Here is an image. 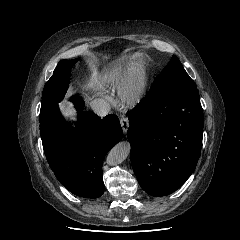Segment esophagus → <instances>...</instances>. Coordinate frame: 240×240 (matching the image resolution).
I'll return each instance as SVG.
<instances>
[{"mask_svg": "<svg viewBox=\"0 0 240 240\" xmlns=\"http://www.w3.org/2000/svg\"><path fill=\"white\" fill-rule=\"evenodd\" d=\"M120 124L123 129V132L126 133L129 128V119L127 117H122L120 119Z\"/></svg>", "mask_w": 240, "mask_h": 240, "instance_id": "obj_1", "label": "esophagus"}]
</instances>
